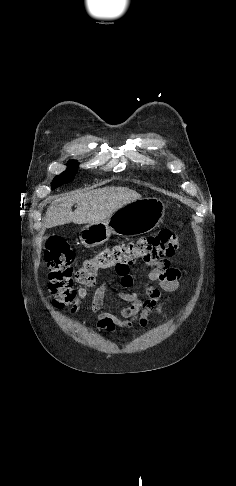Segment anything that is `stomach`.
<instances>
[{"label":"stomach","instance_id":"stomach-1","mask_svg":"<svg viewBox=\"0 0 236 486\" xmlns=\"http://www.w3.org/2000/svg\"><path fill=\"white\" fill-rule=\"evenodd\" d=\"M165 205L158 198H141L124 205L106 220L82 228L79 238L85 247L106 242L111 234L126 236L144 234L155 229L163 220Z\"/></svg>","mask_w":236,"mask_h":486}]
</instances>
